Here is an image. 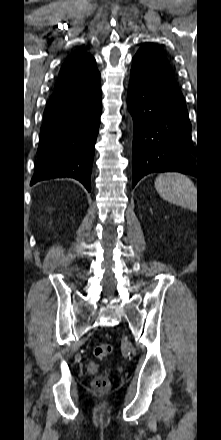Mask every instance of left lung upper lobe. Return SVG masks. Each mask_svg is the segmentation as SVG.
<instances>
[{
    "label": "left lung upper lobe",
    "instance_id": "1",
    "mask_svg": "<svg viewBox=\"0 0 221 440\" xmlns=\"http://www.w3.org/2000/svg\"><path fill=\"white\" fill-rule=\"evenodd\" d=\"M139 50H143V51L148 52L152 57H154L161 64H163L166 67H168L169 69H171L167 58L165 57L163 52L155 45H153L151 43H146Z\"/></svg>",
    "mask_w": 221,
    "mask_h": 440
}]
</instances>
